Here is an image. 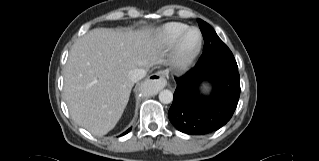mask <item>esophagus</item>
I'll return each instance as SVG.
<instances>
[{"instance_id":"esophagus-1","label":"esophagus","mask_w":319,"mask_h":161,"mask_svg":"<svg viewBox=\"0 0 319 161\" xmlns=\"http://www.w3.org/2000/svg\"><path fill=\"white\" fill-rule=\"evenodd\" d=\"M147 81L151 82L157 90L163 89L167 84V80L164 77L163 71H156L155 73L151 74L147 78Z\"/></svg>"}]
</instances>
